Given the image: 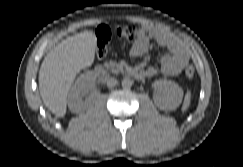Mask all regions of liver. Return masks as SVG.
<instances>
[{
    "mask_svg": "<svg viewBox=\"0 0 243 167\" xmlns=\"http://www.w3.org/2000/svg\"><path fill=\"white\" fill-rule=\"evenodd\" d=\"M96 36L84 31L63 40L44 58L39 70V90L46 107L57 117H64L70 87L82 69L95 58Z\"/></svg>",
    "mask_w": 243,
    "mask_h": 167,
    "instance_id": "liver-1",
    "label": "liver"
}]
</instances>
